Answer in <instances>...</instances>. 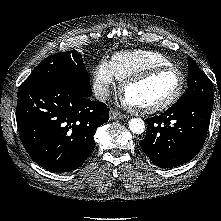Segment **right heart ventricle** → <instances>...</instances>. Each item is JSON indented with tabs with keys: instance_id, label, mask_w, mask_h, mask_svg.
<instances>
[{
	"instance_id": "right-heart-ventricle-1",
	"label": "right heart ventricle",
	"mask_w": 221,
	"mask_h": 221,
	"mask_svg": "<svg viewBox=\"0 0 221 221\" xmlns=\"http://www.w3.org/2000/svg\"><path fill=\"white\" fill-rule=\"evenodd\" d=\"M109 63L115 78L120 81L150 67L173 65L165 55L150 50L120 51Z\"/></svg>"
}]
</instances>
